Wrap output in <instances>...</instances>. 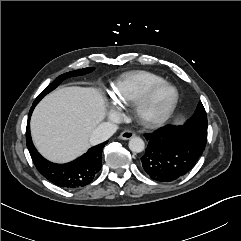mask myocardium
Segmentation results:
<instances>
[{
  "label": "myocardium",
  "instance_id": "obj_1",
  "mask_svg": "<svg viewBox=\"0 0 241 241\" xmlns=\"http://www.w3.org/2000/svg\"><path fill=\"white\" fill-rule=\"evenodd\" d=\"M163 88L173 90V98L166 109L159 113L153 114L150 112L151 104L157 93ZM180 99L179 90L170 82L162 81L149 88L145 94L135 103V113L139 121L148 127H160L164 125L175 112Z\"/></svg>",
  "mask_w": 241,
  "mask_h": 241
}]
</instances>
